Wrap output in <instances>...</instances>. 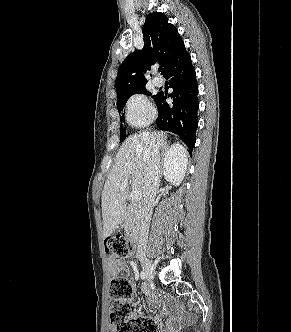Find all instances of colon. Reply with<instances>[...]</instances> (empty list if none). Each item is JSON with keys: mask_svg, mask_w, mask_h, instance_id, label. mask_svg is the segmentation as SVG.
I'll return each mask as SVG.
<instances>
[{"mask_svg": "<svg viewBox=\"0 0 291 332\" xmlns=\"http://www.w3.org/2000/svg\"><path fill=\"white\" fill-rule=\"evenodd\" d=\"M106 251L116 257L131 254L133 246L125 234H115L105 240ZM133 287L125 278L114 277L110 282L111 332H159L154 319L135 315Z\"/></svg>", "mask_w": 291, "mask_h": 332, "instance_id": "5ec220e1", "label": "colon"}]
</instances>
